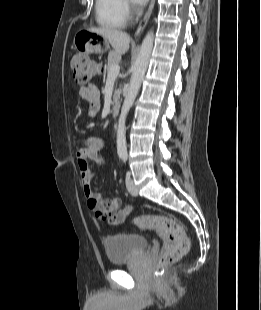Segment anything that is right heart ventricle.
Listing matches in <instances>:
<instances>
[{"label":"right heart ventricle","instance_id":"right-heart-ventricle-1","mask_svg":"<svg viewBox=\"0 0 261 310\" xmlns=\"http://www.w3.org/2000/svg\"><path fill=\"white\" fill-rule=\"evenodd\" d=\"M123 0H95V19L107 29L123 28L128 17L123 9Z\"/></svg>","mask_w":261,"mask_h":310}]
</instances>
